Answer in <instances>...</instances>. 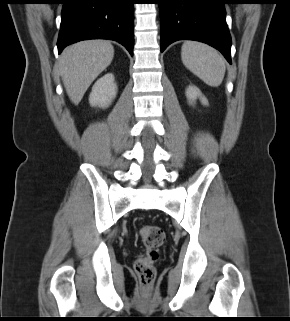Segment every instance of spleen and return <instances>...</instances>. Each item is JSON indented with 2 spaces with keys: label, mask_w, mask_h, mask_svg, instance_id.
<instances>
[{
  "label": "spleen",
  "mask_w": 290,
  "mask_h": 321,
  "mask_svg": "<svg viewBox=\"0 0 290 321\" xmlns=\"http://www.w3.org/2000/svg\"><path fill=\"white\" fill-rule=\"evenodd\" d=\"M183 64L210 86L221 84L225 74V61L214 48L203 43L187 41L182 46Z\"/></svg>",
  "instance_id": "obj_1"
}]
</instances>
